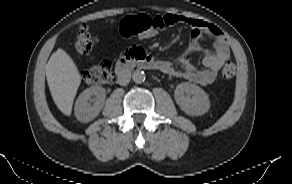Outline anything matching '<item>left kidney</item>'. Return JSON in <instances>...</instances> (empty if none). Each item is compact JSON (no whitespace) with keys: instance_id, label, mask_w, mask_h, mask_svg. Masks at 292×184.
<instances>
[{"instance_id":"obj_1","label":"left kidney","mask_w":292,"mask_h":184,"mask_svg":"<svg viewBox=\"0 0 292 184\" xmlns=\"http://www.w3.org/2000/svg\"><path fill=\"white\" fill-rule=\"evenodd\" d=\"M174 99L181 110L188 115L200 116L210 108V101L206 92L189 82H183L176 87Z\"/></svg>"}]
</instances>
